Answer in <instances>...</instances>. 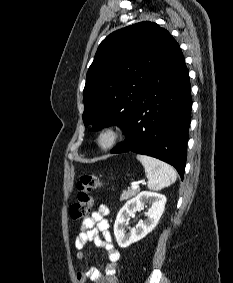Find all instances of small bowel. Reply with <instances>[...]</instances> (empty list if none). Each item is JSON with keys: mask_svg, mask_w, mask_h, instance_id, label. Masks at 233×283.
<instances>
[{"mask_svg": "<svg viewBox=\"0 0 233 283\" xmlns=\"http://www.w3.org/2000/svg\"><path fill=\"white\" fill-rule=\"evenodd\" d=\"M107 215L108 208L105 205H100L97 210L93 211L82 221L81 231L75 240V247L77 249L76 259L79 262L83 261L85 258V246L89 242H93L96 246L105 249L108 262L104 272L92 267L85 273H78V283H87V280L94 283H118L116 271L120 253L112 242L109 221L106 218Z\"/></svg>", "mask_w": 233, "mask_h": 283, "instance_id": "1", "label": "small bowel"}]
</instances>
